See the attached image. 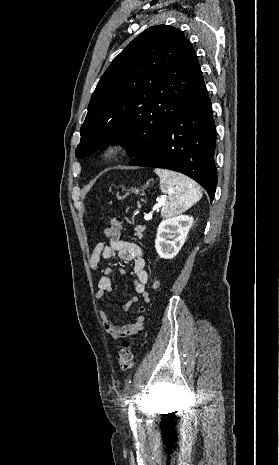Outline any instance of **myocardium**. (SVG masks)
Segmentation results:
<instances>
[{"instance_id": "myocardium-1", "label": "myocardium", "mask_w": 279, "mask_h": 465, "mask_svg": "<svg viewBox=\"0 0 279 465\" xmlns=\"http://www.w3.org/2000/svg\"><path fill=\"white\" fill-rule=\"evenodd\" d=\"M125 147H126L125 140L121 138H116V139L109 141L103 146L101 150V155L104 159H111V158L118 156L120 153H122Z\"/></svg>"}]
</instances>
